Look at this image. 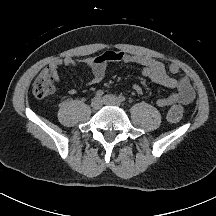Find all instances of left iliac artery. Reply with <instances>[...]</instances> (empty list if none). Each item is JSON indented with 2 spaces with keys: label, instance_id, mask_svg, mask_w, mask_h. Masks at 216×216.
<instances>
[{
  "label": "left iliac artery",
  "instance_id": "obj_1",
  "mask_svg": "<svg viewBox=\"0 0 216 216\" xmlns=\"http://www.w3.org/2000/svg\"><path fill=\"white\" fill-rule=\"evenodd\" d=\"M118 99L120 102H125V97L123 95H119Z\"/></svg>",
  "mask_w": 216,
  "mask_h": 216
}]
</instances>
